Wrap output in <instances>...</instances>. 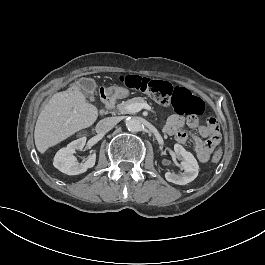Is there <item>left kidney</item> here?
<instances>
[{
    "mask_svg": "<svg viewBox=\"0 0 265 265\" xmlns=\"http://www.w3.org/2000/svg\"><path fill=\"white\" fill-rule=\"evenodd\" d=\"M174 151L177 155H181L184 158L181 162L184 172L180 174L167 172L165 178L171 183L185 185L198 176V162L192 153L187 152L183 146L178 143L174 144Z\"/></svg>",
    "mask_w": 265,
    "mask_h": 265,
    "instance_id": "left-kidney-1",
    "label": "left kidney"
}]
</instances>
